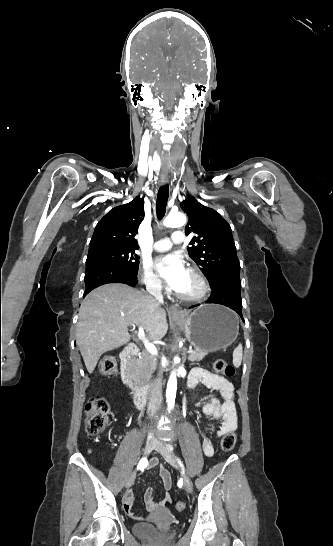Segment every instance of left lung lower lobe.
I'll use <instances>...</instances> for the list:
<instances>
[{
  "label": "left lung lower lobe",
  "instance_id": "1",
  "mask_svg": "<svg viewBox=\"0 0 333 546\" xmlns=\"http://www.w3.org/2000/svg\"><path fill=\"white\" fill-rule=\"evenodd\" d=\"M211 288L212 293L206 303L225 305L236 311L243 320L240 276L233 275L223 278Z\"/></svg>",
  "mask_w": 333,
  "mask_h": 546
}]
</instances>
